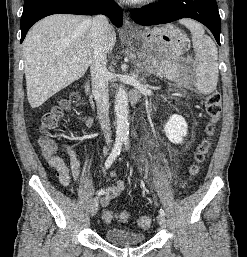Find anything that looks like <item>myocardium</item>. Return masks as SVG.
Returning a JSON list of instances; mask_svg holds the SVG:
<instances>
[{
  "label": "myocardium",
  "mask_w": 247,
  "mask_h": 257,
  "mask_svg": "<svg viewBox=\"0 0 247 257\" xmlns=\"http://www.w3.org/2000/svg\"><path fill=\"white\" fill-rule=\"evenodd\" d=\"M154 1L155 0H139V1H136V3L141 4V5H146V4H150Z\"/></svg>",
  "instance_id": "f54148a6"
}]
</instances>
